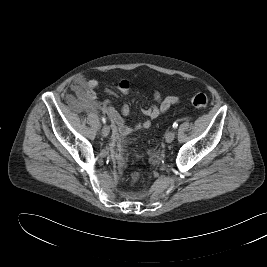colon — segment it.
I'll return each mask as SVG.
<instances>
[{
  "mask_svg": "<svg viewBox=\"0 0 267 267\" xmlns=\"http://www.w3.org/2000/svg\"><path fill=\"white\" fill-rule=\"evenodd\" d=\"M192 105L197 109H204L208 105V98L203 93H198L194 95L191 99ZM143 173L141 170H135L131 173L130 184L133 185L141 180Z\"/></svg>",
  "mask_w": 267,
  "mask_h": 267,
  "instance_id": "obj_1",
  "label": "colon"
}]
</instances>
